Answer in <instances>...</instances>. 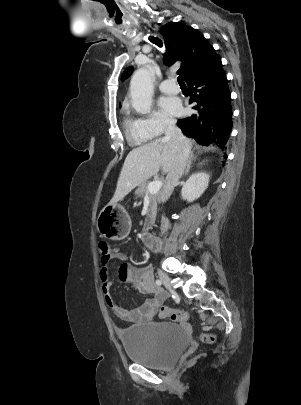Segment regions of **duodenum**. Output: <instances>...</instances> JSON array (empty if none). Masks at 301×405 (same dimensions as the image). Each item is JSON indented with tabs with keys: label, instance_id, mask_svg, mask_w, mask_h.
<instances>
[{
	"label": "duodenum",
	"instance_id": "obj_1",
	"mask_svg": "<svg viewBox=\"0 0 301 405\" xmlns=\"http://www.w3.org/2000/svg\"><path fill=\"white\" fill-rule=\"evenodd\" d=\"M143 242L152 251H159L161 248L159 239L151 233L143 234Z\"/></svg>",
	"mask_w": 301,
	"mask_h": 405
}]
</instances>
